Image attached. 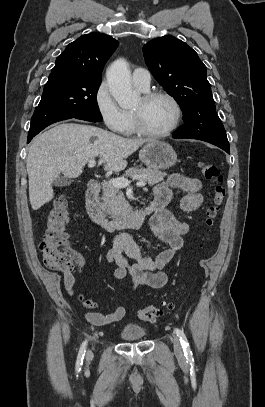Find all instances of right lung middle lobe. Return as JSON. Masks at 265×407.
Masks as SVG:
<instances>
[{"instance_id": "right-lung-middle-lobe-1", "label": "right lung middle lobe", "mask_w": 265, "mask_h": 407, "mask_svg": "<svg viewBox=\"0 0 265 407\" xmlns=\"http://www.w3.org/2000/svg\"><path fill=\"white\" fill-rule=\"evenodd\" d=\"M100 83L101 80L67 74L50 76L32 116L28 136H35L50 124L69 118L102 121L96 99Z\"/></svg>"}]
</instances>
